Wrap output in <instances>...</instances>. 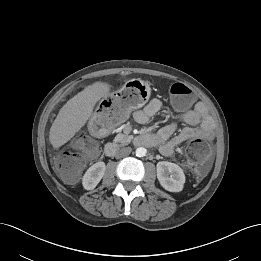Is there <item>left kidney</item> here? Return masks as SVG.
I'll return each mask as SVG.
<instances>
[{
	"label": "left kidney",
	"instance_id": "5707ae66",
	"mask_svg": "<svg viewBox=\"0 0 261 261\" xmlns=\"http://www.w3.org/2000/svg\"><path fill=\"white\" fill-rule=\"evenodd\" d=\"M156 167L157 178L165 190L170 192H180L183 190L185 175L180 166L168 161H160Z\"/></svg>",
	"mask_w": 261,
	"mask_h": 261
}]
</instances>
